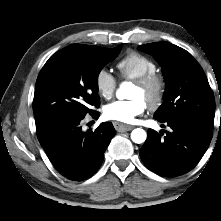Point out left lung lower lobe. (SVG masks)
I'll return each mask as SVG.
<instances>
[{
	"label": "left lung lower lobe",
	"mask_w": 221,
	"mask_h": 221,
	"mask_svg": "<svg viewBox=\"0 0 221 221\" xmlns=\"http://www.w3.org/2000/svg\"><path fill=\"white\" fill-rule=\"evenodd\" d=\"M166 123L172 132L164 131L166 135L162 137L163 132L148 130L140 157L149 170L159 175L180 176L201 160L212 139V128L186 117Z\"/></svg>",
	"instance_id": "0a47b994"
}]
</instances>
